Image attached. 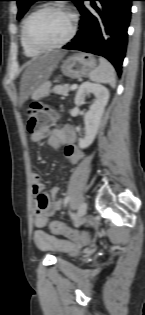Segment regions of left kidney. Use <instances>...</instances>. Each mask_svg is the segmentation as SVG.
<instances>
[{
    "label": "left kidney",
    "instance_id": "1",
    "mask_svg": "<svg viewBox=\"0 0 145 315\" xmlns=\"http://www.w3.org/2000/svg\"><path fill=\"white\" fill-rule=\"evenodd\" d=\"M86 94H93L95 100L84 116L85 137L79 140L78 143L81 149L87 148L93 143L97 135L105 107L109 100V91L106 87L100 84L84 82L80 85L76 93L75 104L78 106L82 105L83 98Z\"/></svg>",
    "mask_w": 145,
    "mask_h": 315
}]
</instances>
